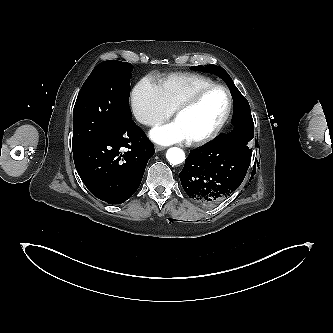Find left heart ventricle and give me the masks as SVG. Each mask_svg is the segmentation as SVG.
I'll use <instances>...</instances> for the list:
<instances>
[{
    "label": "left heart ventricle",
    "instance_id": "1",
    "mask_svg": "<svg viewBox=\"0 0 333 333\" xmlns=\"http://www.w3.org/2000/svg\"><path fill=\"white\" fill-rule=\"evenodd\" d=\"M227 104L225 91L214 89L197 105L181 113L175 121L184 130L188 139L198 138L216 127L226 112Z\"/></svg>",
    "mask_w": 333,
    "mask_h": 333
}]
</instances>
